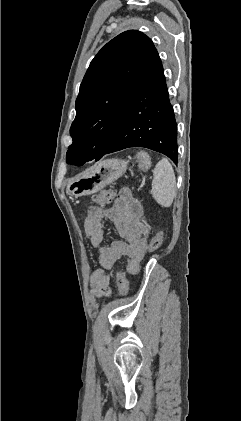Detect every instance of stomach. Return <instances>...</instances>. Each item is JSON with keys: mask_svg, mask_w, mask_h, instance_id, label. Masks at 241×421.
<instances>
[{"mask_svg": "<svg viewBox=\"0 0 241 421\" xmlns=\"http://www.w3.org/2000/svg\"><path fill=\"white\" fill-rule=\"evenodd\" d=\"M126 170L127 162L124 160H103L81 176L69 181L66 190L76 198L90 195L117 180Z\"/></svg>", "mask_w": 241, "mask_h": 421, "instance_id": "1", "label": "stomach"}]
</instances>
